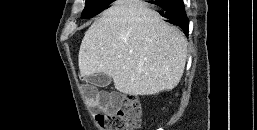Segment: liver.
<instances>
[{"label":"liver","mask_w":257,"mask_h":130,"mask_svg":"<svg viewBox=\"0 0 257 130\" xmlns=\"http://www.w3.org/2000/svg\"><path fill=\"white\" fill-rule=\"evenodd\" d=\"M187 59V39L139 0H119L86 31L78 63L82 77L107 74L127 95L175 88Z\"/></svg>","instance_id":"1"}]
</instances>
